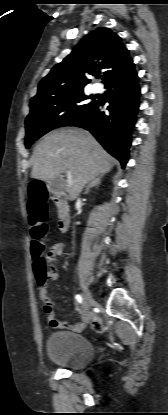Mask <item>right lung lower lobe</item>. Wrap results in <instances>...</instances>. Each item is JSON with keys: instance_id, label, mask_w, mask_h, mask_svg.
Returning <instances> with one entry per match:
<instances>
[{"instance_id": "obj_1", "label": "right lung lower lobe", "mask_w": 168, "mask_h": 415, "mask_svg": "<svg viewBox=\"0 0 168 415\" xmlns=\"http://www.w3.org/2000/svg\"><path fill=\"white\" fill-rule=\"evenodd\" d=\"M105 87L108 89V99L99 98L86 114L68 126H77L90 131L98 142L125 167L140 97L134 64L107 81ZM105 102L110 103L108 112L103 110Z\"/></svg>"}]
</instances>
